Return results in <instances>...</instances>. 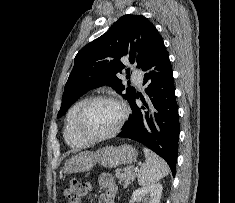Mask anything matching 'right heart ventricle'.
<instances>
[{
  "label": "right heart ventricle",
  "instance_id": "1",
  "mask_svg": "<svg viewBox=\"0 0 235 203\" xmlns=\"http://www.w3.org/2000/svg\"><path fill=\"white\" fill-rule=\"evenodd\" d=\"M88 98H81L76 101L68 110L64 128V139L66 143L72 148H82L88 144L85 140L80 138L75 130H74V121L76 114L81 107V105L87 100Z\"/></svg>",
  "mask_w": 235,
  "mask_h": 203
}]
</instances>
